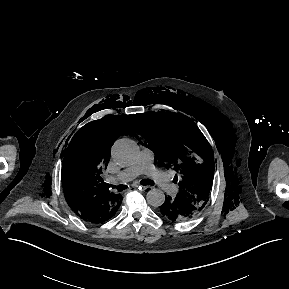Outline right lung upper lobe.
<instances>
[{"label":"right lung upper lobe","instance_id":"cb5924a9","mask_svg":"<svg viewBox=\"0 0 289 289\" xmlns=\"http://www.w3.org/2000/svg\"><path fill=\"white\" fill-rule=\"evenodd\" d=\"M129 115L92 121L71 139L63 153L62 185L70 208L83 220L92 222L106 208L121 200L120 194L103 187L100 177L110 160V149L122 134L132 131Z\"/></svg>","mask_w":289,"mask_h":289}]
</instances>
